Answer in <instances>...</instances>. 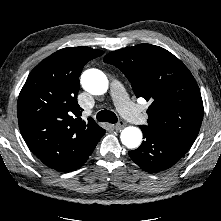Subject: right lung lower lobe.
<instances>
[{"mask_svg": "<svg viewBox=\"0 0 221 221\" xmlns=\"http://www.w3.org/2000/svg\"><path fill=\"white\" fill-rule=\"evenodd\" d=\"M95 147H96V146H95ZM95 147H93V148L85 155L83 161L79 163V166H78L76 169L80 168V167L87 161L88 157L91 155V153L93 152V150H94ZM76 169H75V170H76ZM73 171H74V170H73Z\"/></svg>", "mask_w": 221, "mask_h": 221, "instance_id": "1", "label": "right lung lower lobe"}]
</instances>
